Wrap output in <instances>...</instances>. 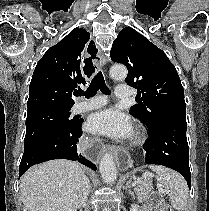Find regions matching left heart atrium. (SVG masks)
I'll return each instance as SVG.
<instances>
[{
	"label": "left heart atrium",
	"mask_w": 209,
	"mask_h": 211,
	"mask_svg": "<svg viewBox=\"0 0 209 211\" xmlns=\"http://www.w3.org/2000/svg\"><path fill=\"white\" fill-rule=\"evenodd\" d=\"M90 132L114 139H126L133 133L129 116L116 108H106L93 113L87 122Z\"/></svg>",
	"instance_id": "39dd6f15"
}]
</instances>
